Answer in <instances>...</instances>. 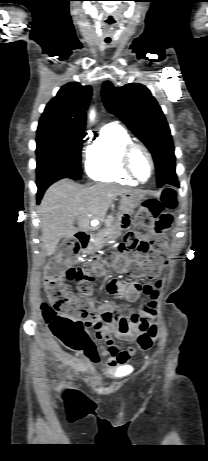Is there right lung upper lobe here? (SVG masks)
<instances>
[{
	"label": "right lung upper lobe",
	"mask_w": 208,
	"mask_h": 461,
	"mask_svg": "<svg viewBox=\"0 0 208 461\" xmlns=\"http://www.w3.org/2000/svg\"><path fill=\"white\" fill-rule=\"evenodd\" d=\"M90 86L70 82L58 91L45 107L40 122H48L71 131L84 132L86 109L91 99Z\"/></svg>",
	"instance_id": "cb5924a9"
}]
</instances>
